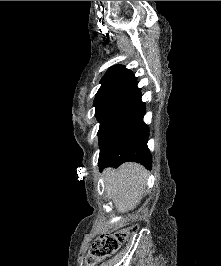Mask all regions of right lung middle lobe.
Returning <instances> with one entry per match:
<instances>
[{
	"mask_svg": "<svg viewBox=\"0 0 221 266\" xmlns=\"http://www.w3.org/2000/svg\"><path fill=\"white\" fill-rule=\"evenodd\" d=\"M140 94L137 87H117L97 92L94 106L95 116L100 123L99 146L113 133Z\"/></svg>",
	"mask_w": 221,
	"mask_h": 266,
	"instance_id": "obj_1",
	"label": "right lung middle lobe"
}]
</instances>
